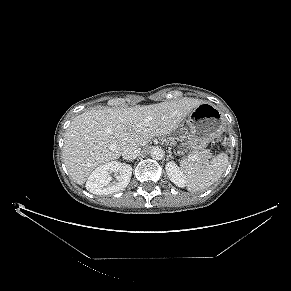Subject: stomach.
Masks as SVG:
<instances>
[{"mask_svg":"<svg viewBox=\"0 0 291 291\" xmlns=\"http://www.w3.org/2000/svg\"><path fill=\"white\" fill-rule=\"evenodd\" d=\"M187 125V144L194 151H199L222 134L224 117L215 105L203 103L188 114Z\"/></svg>","mask_w":291,"mask_h":291,"instance_id":"obj_1","label":"stomach"}]
</instances>
